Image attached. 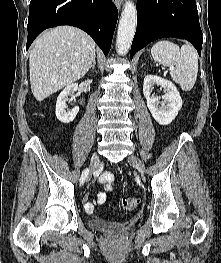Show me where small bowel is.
<instances>
[{
    "mask_svg": "<svg viewBox=\"0 0 221 263\" xmlns=\"http://www.w3.org/2000/svg\"><path fill=\"white\" fill-rule=\"evenodd\" d=\"M115 177L111 172L102 173L97 179V185L101 188L97 190L95 199L84 197V207L87 212H93L97 205H102L107 200V193L111 192L114 186Z\"/></svg>",
    "mask_w": 221,
    "mask_h": 263,
    "instance_id": "1",
    "label": "small bowel"
}]
</instances>
